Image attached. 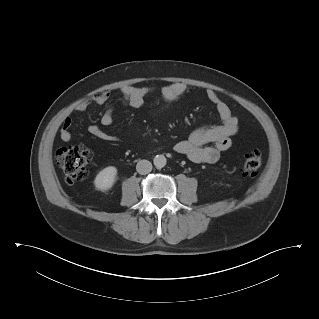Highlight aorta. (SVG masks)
Here are the masks:
<instances>
[{
	"label": "aorta",
	"mask_w": 319,
	"mask_h": 319,
	"mask_svg": "<svg viewBox=\"0 0 319 319\" xmlns=\"http://www.w3.org/2000/svg\"><path fill=\"white\" fill-rule=\"evenodd\" d=\"M156 168H163L166 165V157L164 155H156L153 159Z\"/></svg>",
	"instance_id": "aorta-1"
}]
</instances>
